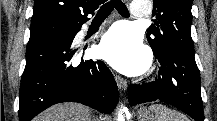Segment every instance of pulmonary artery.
I'll return each instance as SVG.
<instances>
[{
  "label": "pulmonary artery",
  "instance_id": "obj_1",
  "mask_svg": "<svg viewBox=\"0 0 217 121\" xmlns=\"http://www.w3.org/2000/svg\"><path fill=\"white\" fill-rule=\"evenodd\" d=\"M130 9L131 15L134 18H145L149 16V5L144 2H133Z\"/></svg>",
  "mask_w": 217,
  "mask_h": 121
}]
</instances>
